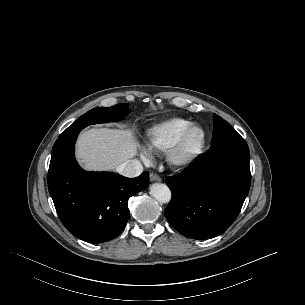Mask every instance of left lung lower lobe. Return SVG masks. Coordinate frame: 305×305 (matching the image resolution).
<instances>
[{
  "instance_id": "left-lung-lower-lobe-1",
  "label": "left lung lower lobe",
  "mask_w": 305,
  "mask_h": 305,
  "mask_svg": "<svg viewBox=\"0 0 305 305\" xmlns=\"http://www.w3.org/2000/svg\"><path fill=\"white\" fill-rule=\"evenodd\" d=\"M249 152L226 150L200 154L166 184L172 199L165 210L168 222L182 235L210 239L221 235L238 216L248 194Z\"/></svg>"
}]
</instances>
